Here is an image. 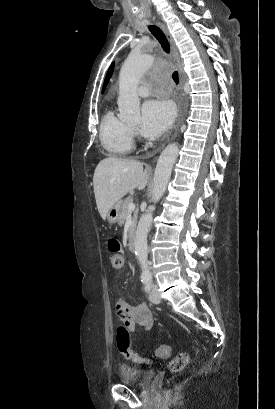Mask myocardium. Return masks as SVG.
I'll use <instances>...</instances> for the list:
<instances>
[{"instance_id":"myocardium-1","label":"myocardium","mask_w":275,"mask_h":409,"mask_svg":"<svg viewBox=\"0 0 275 409\" xmlns=\"http://www.w3.org/2000/svg\"><path fill=\"white\" fill-rule=\"evenodd\" d=\"M132 131V134L134 133V128H133V130H131Z\"/></svg>"}]
</instances>
